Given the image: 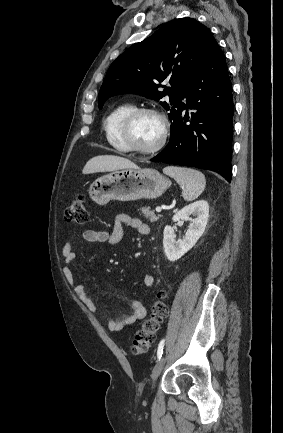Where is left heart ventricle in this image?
<instances>
[{"label":"left heart ventricle","instance_id":"obj_1","mask_svg":"<svg viewBox=\"0 0 283 433\" xmlns=\"http://www.w3.org/2000/svg\"><path fill=\"white\" fill-rule=\"evenodd\" d=\"M162 129V122L157 116L153 114H144L135 121L131 132V138L138 147L150 150L160 141Z\"/></svg>","mask_w":283,"mask_h":433}]
</instances>
